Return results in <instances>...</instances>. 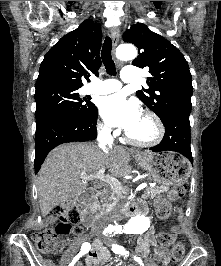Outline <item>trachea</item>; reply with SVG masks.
I'll return each mask as SVG.
<instances>
[{
  "instance_id": "trachea-1",
  "label": "trachea",
  "mask_w": 221,
  "mask_h": 266,
  "mask_svg": "<svg viewBox=\"0 0 221 266\" xmlns=\"http://www.w3.org/2000/svg\"><path fill=\"white\" fill-rule=\"evenodd\" d=\"M111 50H112V41L111 38L107 36L102 46V51H101L102 61L105 66L107 74L115 76L117 72L114 61L112 59Z\"/></svg>"
}]
</instances>
